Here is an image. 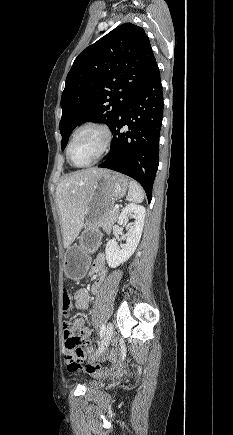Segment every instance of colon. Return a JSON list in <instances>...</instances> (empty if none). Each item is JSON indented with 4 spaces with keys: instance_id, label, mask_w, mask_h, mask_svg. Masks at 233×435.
I'll return each mask as SVG.
<instances>
[{
    "instance_id": "colon-1",
    "label": "colon",
    "mask_w": 233,
    "mask_h": 435,
    "mask_svg": "<svg viewBox=\"0 0 233 435\" xmlns=\"http://www.w3.org/2000/svg\"><path fill=\"white\" fill-rule=\"evenodd\" d=\"M62 313L66 319H68L72 314V300L67 287H64L62 290ZM64 334L66 350L64 355L65 365L69 371L79 370L83 360V352L80 349L82 334L71 324L65 325ZM85 369L88 372H92L93 370H96V366L89 365Z\"/></svg>"
}]
</instances>
